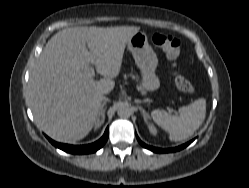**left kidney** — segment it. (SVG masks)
<instances>
[{
  "label": "left kidney",
  "mask_w": 249,
  "mask_h": 188,
  "mask_svg": "<svg viewBox=\"0 0 249 188\" xmlns=\"http://www.w3.org/2000/svg\"><path fill=\"white\" fill-rule=\"evenodd\" d=\"M148 127H149V131H150L153 135H156V134H157V129H156V127H155L153 124H149Z\"/></svg>",
  "instance_id": "1"
}]
</instances>
